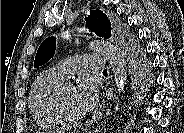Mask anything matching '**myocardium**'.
<instances>
[{
	"label": "myocardium",
	"mask_w": 184,
	"mask_h": 133,
	"mask_svg": "<svg viewBox=\"0 0 184 133\" xmlns=\"http://www.w3.org/2000/svg\"><path fill=\"white\" fill-rule=\"evenodd\" d=\"M73 86L71 82H62L54 92L53 106L56 114L58 115L61 122L69 124H77L85 119V115L80 117L69 116L63 107L62 96L66 87Z\"/></svg>",
	"instance_id": "f54148a6"
}]
</instances>
